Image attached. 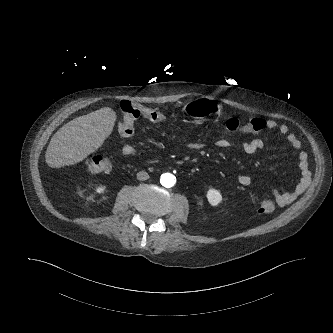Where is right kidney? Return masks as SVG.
Masks as SVG:
<instances>
[{"mask_svg": "<svg viewBox=\"0 0 333 333\" xmlns=\"http://www.w3.org/2000/svg\"><path fill=\"white\" fill-rule=\"evenodd\" d=\"M105 188L103 186H99L96 188L95 192L98 194L104 193Z\"/></svg>", "mask_w": 333, "mask_h": 333, "instance_id": "right-kidney-1", "label": "right kidney"}]
</instances>
